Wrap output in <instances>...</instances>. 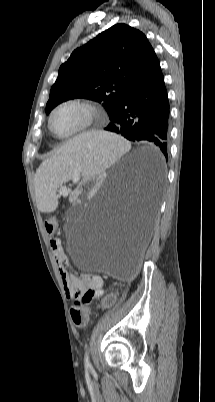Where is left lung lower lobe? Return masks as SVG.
Here are the masks:
<instances>
[{
    "label": "left lung lower lobe",
    "mask_w": 215,
    "mask_h": 402,
    "mask_svg": "<svg viewBox=\"0 0 215 402\" xmlns=\"http://www.w3.org/2000/svg\"><path fill=\"white\" fill-rule=\"evenodd\" d=\"M169 102L159 60L129 88L110 117L105 130L130 141H146L168 158ZM151 196L157 191L153 179L147 184Z\"/></svg>",
    "instance_id": "obj_1"
}]
</instances>
